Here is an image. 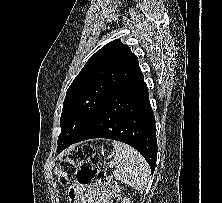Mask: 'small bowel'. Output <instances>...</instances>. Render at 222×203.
I'll return each instance as SVG.
<instances>
[{
  "instance_id": "c3829d8e",
  "label": "small bowel",
  "mask_w": 222,
  "mask_h": 203,
  "mask_svg": "<svg viewBox=\"0 0 222 203\" xmlns=\"http://www.w3.org/2000/svg\"><path fill=\"white\" fill-rule=\"evenodd\" d=\"M70 195L77 203H112L110 192L101 185H85L76 182L72 186Z\"/></svg>"
}]
</instances>
